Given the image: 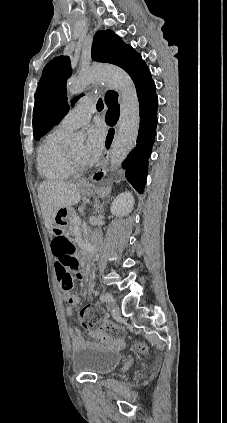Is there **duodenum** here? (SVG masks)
Masks as SVG:
<instances>
[{"mask_svg": "<svg viewBox=\"0 0 227 423\" xmlns=\"http://www.w3.org/2000/svg\"><path fill=\"white\" fill-rule=\"evenodd\" d=\"M97 248L96 244H93L89 247H82V250L84 252L85 255L89 256L91 254L92 251H94Z\"/></svg>", "mask_w": 227, "mask_h": 423, "instance_id": "obj_1", "label": "duodenum"}]
</instances>
